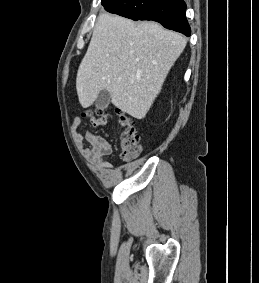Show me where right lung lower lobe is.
<instances>
[{
    "label": "right lung lower lobe",
    "mask_w": 259,
    "mask_h": 283,
    "mask_svg": "<svg viewBox=\"0 0 259 283\" xmlns=\"http://www.w3.org/2000/svg\"><path fill=\"white\" fill-rule=\"evenodd\" d=\"M104 9L110 13L132 20H153L186 36L191 29L186 19L183 0H102Z\"/></svg>",
    "instance_id": "1"
}]
</instances>
